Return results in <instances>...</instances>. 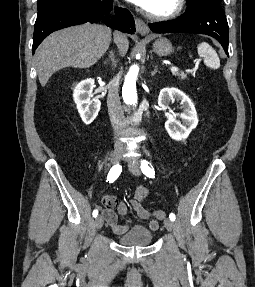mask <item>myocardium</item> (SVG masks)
Wrapping results in <instances>:
<instances>
[{"mask_svg":"<svg viewBox=\"0 0 255 287\" xmlns=\"http://www.w3.org/2000/svg\"><path fill=\"white\" fill-rule=\"evenodd\" d=\"M145 33H150V32H145ZM164 33H172V32H164ZM138 39H150V38H138ZM160 39H172V38H160ZM148 48H151V47H148ZM169 48H173V47H169Z\"/></svg>","mask_w":255,"mask_h":287,"instance_id":"1","label":"myocardium"}]
</instances>
